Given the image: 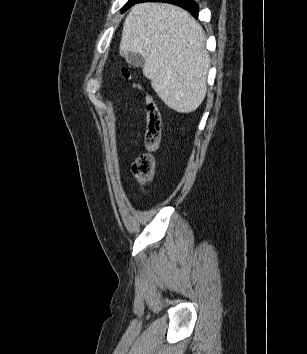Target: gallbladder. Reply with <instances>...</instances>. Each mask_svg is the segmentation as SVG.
I'll list each match as a JSON object with an SVG mask.
<instances>
[{
	"instance_id": "1",
	"label": "gallbladder",
	"mask_w": 307,
	"mask_h": 354,
	"mask_svg": "<svg viewBox=\"0 0 307 354\" xmlns=\"http://www.w3.org/2000/svg\"><path fill=\"white\" fill-rule=\"evenodd\" d=\"M125 59L126 61L135 66V67H143L145 60L143 58V56H141L138 53H134V52H129L125 55Z\"/></svg>"
}]
</instances>
